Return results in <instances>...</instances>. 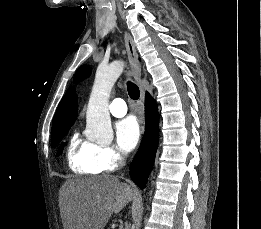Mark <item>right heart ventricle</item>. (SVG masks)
I'll return each mask as SVG.
<instances>
[{
	"label": "right heart ventricle",
	"mask_w": 261,
	"mask_h": 229,
	"mask_svg": "<svg viewBox=\"0 0 261 229\" xmlns=\"http://www.w3.org/2000/svg\"><path fill=\"white\" fill-rule=\"evenodd\" d=\"M97 144L82 140L74 135L67 149V160L72 171L80 174H96L98 170L94 164V156Z\"/></svg>",
	"instance_id": "1"
}]
</instances>
